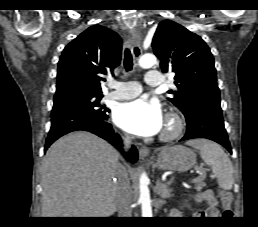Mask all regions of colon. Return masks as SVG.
Wrapping results in <instances>:
<instances>
[{
	"label": "colon",
	"instance_id": "obj_1",
	"mask_svg": "<svg viewBox=\"0 0 258 227\" xmlns=\"http://www.w3.org/2000/svg\"><path fill=\"white\" fill-rule=\"evenodd\" d=\"M219 195L222 201V206H223V212L222 215L225 218H230L232 217L233 213L231 210V205L233 201V196L229 191L226 190H220Z\"/></svg>",
	"mask_w": 258,
	"mask_h": 227
}]
</instances>
